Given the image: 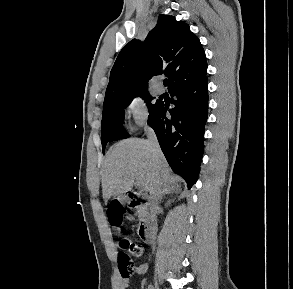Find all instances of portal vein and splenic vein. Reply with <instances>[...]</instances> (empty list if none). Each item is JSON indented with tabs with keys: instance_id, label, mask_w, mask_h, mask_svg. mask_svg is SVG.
Here are the masks:
<instances>
[{
	"instance_id": "obj_1",
	"label": "portal vein and splenic vein",
	"mask_w": 293,
	"mask_h": 289,
	"mask_svg": "<svg viewBox=\"0 0 293 289\" xmlns=\"http://www.w3.org/2000/svg\"><path fill=\"white\" fill-rule=\"evenodd\" d=\"M136 184H137V186L142 187L139 180H136Z\"/></svg>"
}]
</instances>
